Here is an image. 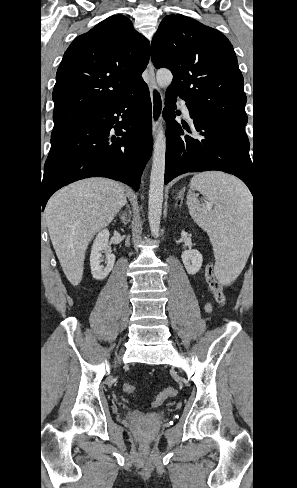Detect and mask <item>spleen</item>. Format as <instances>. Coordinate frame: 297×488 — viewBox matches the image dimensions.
Instances as JSON below:
<instances>
[{
	"label": "spleen",
	"mask_w": 297,
	"mask_h": 488,
	"mask_svg": "<svg viewBox=\"0 0 297 488\" xmlns=\"http://www.w3.org/2000/svg\"><path fill=\"white\" fill-rule=\"evenodd\" d=\"M190 188L207 201L201 205L189 191L190 215L209 235L219 279L231 281L244 268L251 249V195L238 179L216 171L195 175Z\"/></svg>",
	"instance_id": "obj_1"
}]
</instances>
